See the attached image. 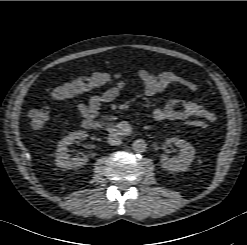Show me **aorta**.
<instances>
[{
    "label": "aorta",
    "mask_w": 247,
    "mask_h": 245,
    "mask_svg": "<svg viewBox=\"0 0 247 245\" xmlns=\"http://www.w3.org/2000/svg\"><path fill=\"white\" fill-rule=\"evenodd\" d=\"M147 148V144L143 139H137L132 144V149L136 153H143Z\"/></svg>",
    "instance_id": "obj_1"
}]
</instances>
